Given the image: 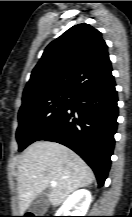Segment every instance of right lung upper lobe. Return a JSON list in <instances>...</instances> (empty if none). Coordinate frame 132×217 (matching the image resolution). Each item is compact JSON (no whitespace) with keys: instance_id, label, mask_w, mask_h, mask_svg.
I'll return each mask as SVG.
<instances>
[{"instance_id":"obj_1","label":"right lung upper lobe","mask_w":132,"mask_h":217,"mask_svg":"<svg viewBox=\"0 0 132 217\" xmlns=\"http://www.w3.org/2000/svg\"><path fill=\"white\" fill-rule=\"evenodd\" d=\"M111 72L101 33L88 24H78L46 47L23 98L58 92L77 94L105 83L113 77Z\"/></svg>"}]
</instances>
